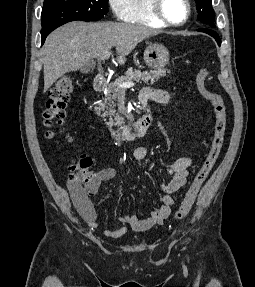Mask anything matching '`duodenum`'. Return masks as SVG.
Here are the masks:
<instances>
[{
    "label": "duodenum",
    "instance_id": "1",
    "mask_svg": "<svg viewBox=\"0 0 255 287\" xmlns=\"http://www.w3.org/2000/svg\"><path fill=\"white\" fill-rule=\"evenodd\" d=\"M107 87V81L104 78H96L94 81V90L98 93L103 92ZM139 102L141 103L144 114L132 126L121 127L112 131L113 138L117 142H126L147 134L152 123V116L148 107L149 101L153 98V93L148 90L140 92Z\"/></svg>",
    "mask_w": 255,
    "mask_h": 287
}]
</instances>
